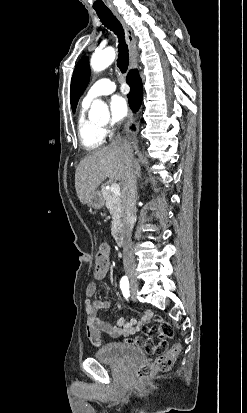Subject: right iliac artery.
Segmentation results:
<instances>
[{"instance_id": "right-iliac-artery-1", "label": "right iliac artery", "mask_w": 247, "mask_h": 413, "mask_svg": "<svg viewBox=\"0 0 247 413\" xmlns=\"http://www.w3.org/2000/svg\"><path fill=\"white\" fill-rule=\"evenodd\" d=\"M120 288L122 290V294L123 296L128 300L129 296H130V291H129V285H120Z\"/></svg>"}]
</instances>
